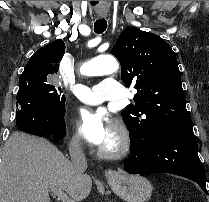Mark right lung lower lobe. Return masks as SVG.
<instances>
[{"label":"right lung lower lobe","instance_id":"right-lung-lower-lobe-1","mask_svg":"<svg viewBox=\"0 0 209 202\" xmlns=\"http://www.w3.org/2000/svg\"><path fill=\"white\" fill-rule=\"evenodd\" d=\"M28 106L16 114V127L23 132L37 135L40 137L53 136V139L61 140L65 133L64 116L51 115L44 111Z\"/></svg>","mask_w":209,"mask_h":202}]
</instances>
